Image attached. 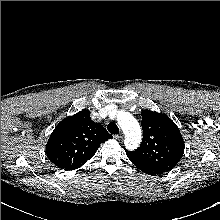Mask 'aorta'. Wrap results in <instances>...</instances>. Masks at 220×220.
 <instances>
[{
	"instance_id": "762f6f07",
	"label": "aorta",
	"mask_w": 220,
	"mask_h": 220,
	"mask_svg": "<svg viewBox=\"0 0 220 220\" xmlns=\"http://www.w3.org/2000/svg\"><path fill=\"white\" fill-rule=\"evenodd\" d=\"M117 122L125 134V147L129 150L137 149L142 138L138 121L129 112L120 111L117 115Z\"/></svg>"
}]
</instances>
